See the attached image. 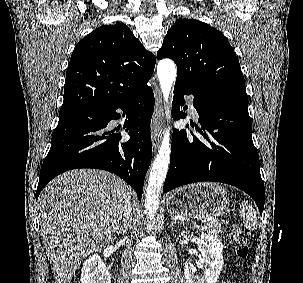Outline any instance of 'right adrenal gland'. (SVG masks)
Returning a JSON list of instances; mask_svg holds the SVG:
<instances>
[{
	"label": "right adrenal gland",
	"instance_id": "obj_1",
	"mask_svg": "<svg viewBox=\"0 0 303 283\" xmlns=\"http://www.w3.org/2000/svg\"><path fill=\"white\" fill-rule=\"evenodd\" d=\"M125 224L123 227L120 228V230L118 231V235L121 234V233H124L129 227H130V223H131V216H129L127 218L126 221H124Z\"/></svg>",
	"mask_w": 303,
	"mask_h": 283
}]
</instances>
